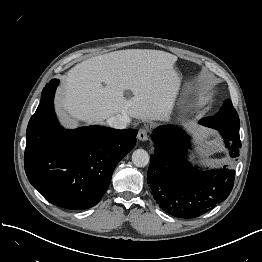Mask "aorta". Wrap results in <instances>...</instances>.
Masks as SVG:
<instances>
[{
  "mask_svg": "<svg viewBox=\"0 0 262 262\" xmlns=\"http://www.w3.org/2000/svg\"><path fill=\"white\" fill-rule=\"evenodd\" d=\"M132 162L137 167H145L149 163V154L144 149H137L132 154Z\"/></svg>",
  "mask_w": 262,
  "mask_h": 262,
  "instance_id": "762f6f07",
  "label": "aorta"
}]
</instances>
